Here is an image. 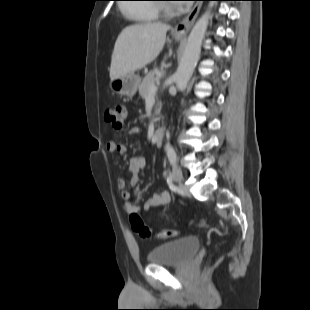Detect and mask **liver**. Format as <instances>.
I'll return each mask as SVG.
<instances>
[{
	"instance_id": "6515ba94",
	"label": "liver",
	"mask_w": 310,
	"mask_h": 310,
	"mask_svg": "<svg viewBox=\"0 0 310 310\" xmlns=\"http://www.w3.org/2000/svg\"><path fill=\"white\" fill-rule=\"evenodd\" d=\"M169 25L144 23L128 26L119 34L110 65V79L145 67L162 51Z\"/></svg>"
}]
</instances>
